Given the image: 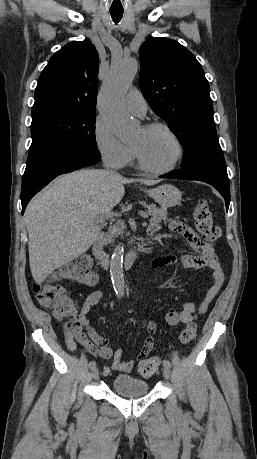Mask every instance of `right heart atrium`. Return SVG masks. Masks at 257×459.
<instances>
[{"instance_id": "1", "label": "right heart atrium", "mask_w": 257, "mask_h": 459, "mask_svg": "<svg viewBox=\"0 0 257 459\" xmlns=\"http://www.w3.org/2000/svg\"><path fill=\"white\" fill-rule=\"evenodd\" d=\"M94 143L103 161L113 168H123L133 159V148L118 139L100 119L95 122Z\"/></svg>"}]
</instances>
